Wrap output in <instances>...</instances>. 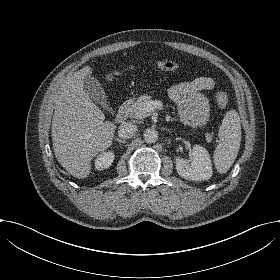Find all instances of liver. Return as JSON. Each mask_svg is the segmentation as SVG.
Listing matches in <instances>:
<instances>
[{
	"label": "liver",
	"instance_id": "liver-1",
	"mask_svg": "<svg viewBox=\"0 0 280 280\" xmlns=\"http://www.w3.org/2000/svg\"><path fill=\"white\" fill-rule=\"evenodd\" d=\"M86 66L69 74L54 96L53 149L58 162L77 178L90 174L91 160L112 145L116 125L88 97L84 79Z\"/></svg>",
	"mask_w": 280,
	"mask_h": 280
}]
</instances>
